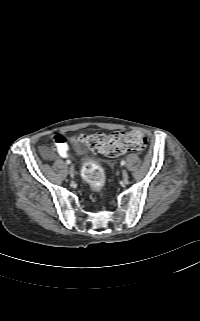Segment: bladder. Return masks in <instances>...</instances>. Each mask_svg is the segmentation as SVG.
I'll return each instance as SVG.
<instances>
[{"instance_id": "obj_1", "label": "bladder", "mask_w": 200, "mask_h": 321, "mask_svg": "<svg viewBox=\"0 0 200 321\" xmlns=\"http://www.w3.org/2000/svg\"><path fill=\"white\" fill-rule=\"evenodd\" d=\"M73 145L75 148V151L79 155L86 154L87 147L77 138L73 139Z\"/></svg>"}]
</instances>
